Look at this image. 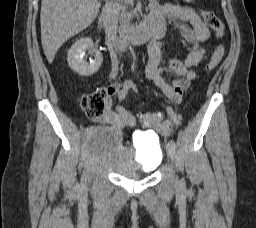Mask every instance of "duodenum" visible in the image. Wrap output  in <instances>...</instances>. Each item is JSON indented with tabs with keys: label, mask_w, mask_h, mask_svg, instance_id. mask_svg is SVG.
<instances>
[{
	"label": "duodenum",
	"mask_w": 256,
	"mask_h": 228,
	"mask_svg": "<svg viewBox=\"0 0 256 228\" xmlns=\"http://www.w3.org/2000/svg\"><path fill=\"white\" fill-rule=\"evenodd\" d=\"M107 13L103 11L100 15L98 26L101 31L104 30L106 24ZM161 35L159 29L149 23L147 20L139 24L138 26L130 29L126 33L122 34L116 45L121 48H127L131 45H140L147 42L149 39L157 38Z\"/></svg>",
	"instance_id": "1"
}]
</instances>
